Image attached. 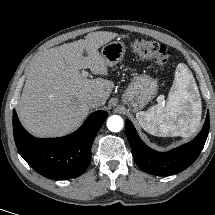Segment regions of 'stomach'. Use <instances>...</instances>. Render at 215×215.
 <instances>
[{"mask_svg":"<svg viewBox=\"0 0 215 215\" xmlns=\"http://www.w3.org/2000/svg\"><path fill=\"white\" fill-rule=\"evenodd\" d=\"M126 52L121 41H113L103 46L101 55L108 66L113 67L120 62ZM157 81L147 74H136L126 88L122 102L133 112L143 109L157 93Z\"/></svg>","mask_w":215,"mask_h":215,"instance_id":"stomach-1","label":"stomach"}]
</instances>
